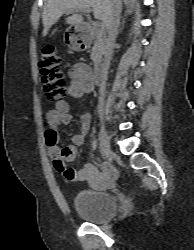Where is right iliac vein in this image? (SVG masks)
<instances>
[{"instance_id": "1", "label": "right iliac vein", "mask_w": 194, "mask_h": 250, "mask_svg": "<svg viewBox=\"0 0 194 250\" xmlns=\"http://www.w3.org/2000/svg\"><path fill=\"white\" fill-rule=\"evenodd\" d=\"M99 140H100V149L103 156L110 155L111 153L110 140L103 121H101Z\"/></svg>"}]
</instances>
